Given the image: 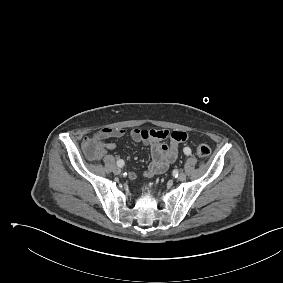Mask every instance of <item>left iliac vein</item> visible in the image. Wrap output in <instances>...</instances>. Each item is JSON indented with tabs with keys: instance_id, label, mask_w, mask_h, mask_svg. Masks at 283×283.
Returning a JSON list of instances; mask_svg holds the SVG:
<instances>
[{
	"instance_id": "4c4485c4",
	"label": "left iliac vein",
	"mask_w": 283,
	"mask_h": 283,
	"mask_svg": "<svg viewBox=\"0 0 283 283\" xmlns=\"http://www.w3.org/2000/svg\"><path fill=\"white\" fill-rule=\"evenodd\" d=\"M186 177H187L186 174L184 172H181V173H179L177 179L179 181H184L186 179Z\"/></svg>"
}]
</instances>
